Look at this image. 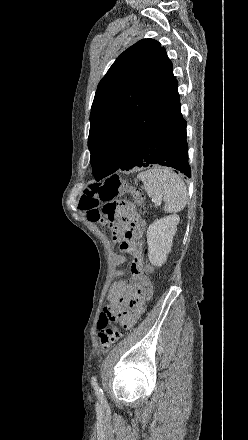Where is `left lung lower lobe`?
Segmentation results:
<instances>
[{
	"instance_id": "1",
	"label": "left lung lower lobe",
	"mask_w": 248,
	"mask_h": 440,
	"mask_svg": "<svg viewBox=\"0 0 248 440\" xmlns=\"http://www.w3.org/2000/svg\"><path fill=\"white\" fill-rule=\"evenodd\" d=\"M186 137V121L179 104L132 145L118 169L128 171L159 164L175 168L190 178Z\"/></svg>"
}]
</instances>
